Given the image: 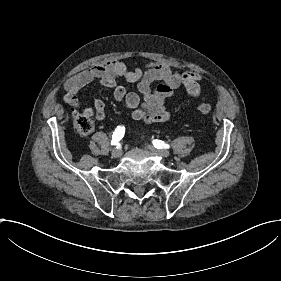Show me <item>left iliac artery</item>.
I'll list each match as a JSON object with an SVG mask.
<instances>
[{"instance_id":"1","label":"left iliac artery","mask_w":281,"mask_h":281,"mask_svg":"<svg viewBox=\"0 0 281 281\" xmlns=\"http://www.w3.org/2000/svg\"><path fill=\"white\" fill-rule=\"evenodd\" d=\"M153 145H154V147L155 148H157V149H167V148H169L170 146L168 145V144H165L164 143V141H161V140H153Z\"/></svg>"}]
</instances>
